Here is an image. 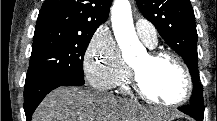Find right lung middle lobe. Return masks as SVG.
Returning a JSON list of instances; mask_svg holds the SVG:
<instances>
[{
  "label": "right lung middle lobe",
  "mask_w": 217,
  "mask_h": 121,
  "mask_svg": "<svg viewBox=\"0 0 217 121\" xmlns=\"http://www.w3.org/2000/svg\"><path fill=\"white\" fill-rule=\"evenodd\" d=\"M94 32L59 26L35 28L25 84L50 74H63L84 83L83 58Z\"/></svg>",
  "instance_id": "1"
}]
</instances>
